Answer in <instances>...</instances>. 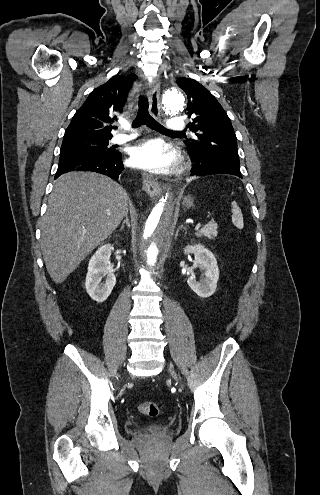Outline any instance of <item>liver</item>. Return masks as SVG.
<instances>
[{"label": "liver", "mask_w": 320, "mask_h": 495, "mask_svg": "<svg viewBox=\"0 0 320 495\" xmlns=\"http://www.w3.org/2000/svg\"><path fill=\"white\" fill-rule=\"evenodd\" d=\"M126 191L110 178L68 172L55 182L42 218L41 250L47 271L62 283L119 226L128 213Z\"/></svg>", "instance_id": "liver-1"}]
</instances>
